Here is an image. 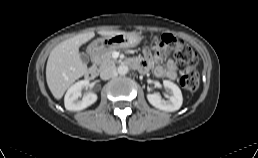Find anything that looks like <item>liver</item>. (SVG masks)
Returning <instances> with one entry per match:
<instances>
[{
    "mask_svg": "<svg viewBox=\"0 0 258 158\" xmlns=\"http://www.w3.org/2000/svg\"><path fill=\"white\" fill-rule=\"evenodd\" d=\"M122 31H100L102 36H113ZM95 36L94 32L78 34L55 46L48 57L46 66L47 85L56 99L87 72V65L80 58L79 48Z\"/></svg>",
    "mask_w": 258,
    "mask_h": 158,
    "instance_id": "liver-1",
    "label": "liver"
}]
</instances>
